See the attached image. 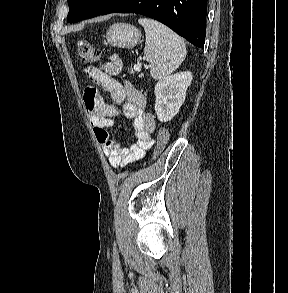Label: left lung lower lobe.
Masks as SVG:
<instances>
[{"label":"left lung lower lobe","mask_w":288,"mask_h":293,"mask_svg":"<svg viewBox=\"0 0 288 293\" xmlns=\"http://www.w3.org/2000/svg\"><path fill=\"white\" fill-rule=\"evenodd\" d=\"M136 13L153 18L204 47L207 0H117L100 15Z\"/></svg>","instance_id":"obj_1"}]
</instances>
